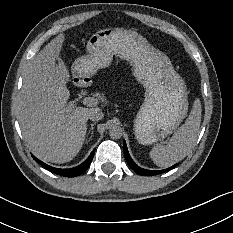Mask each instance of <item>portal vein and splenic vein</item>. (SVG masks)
Segmentation results:
<instances>
[{
  "mask_svg": "<svg viewBox=\"0 0 233 233\" xmlns=\"http://www.w3.org/2000/svg\"><path fill=\"white\" fill-rule=\"evenodd\" d=\"M88 104L94 107H97L99 105V100L97 98H89L87 99Z\"/></svg>",
  "mask_w": 233,
  "mask_h": 233,
  "instance_id": "18ae733b",
  "label": "portal vein and splenic vein"
}]
</instances>
